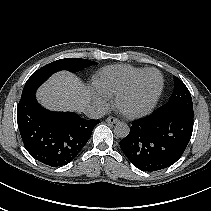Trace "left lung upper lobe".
<instances>
[{"label": "left lung upper lobe", "mask_w": 211, "mask_h": 211, "mask_svg": "<svg viewBox=\"0 0 211 211\" xmlns=\"http://www.w3.org/2000/svg\"><path fill=\"white\" fill-rule=\"evenodd\" d=\"M174 81L175 87L169 101L155 112L183 113L193 117V103L189 90L179 78L174 76Z\"/></svg>", "instance_id": "1"}]
</instances>
